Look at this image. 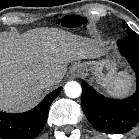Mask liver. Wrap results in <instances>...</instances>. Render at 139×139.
Segmentation results:
<instances>
[{"label":"liver","mask_w":139,"mask_h":139,"mask_svg":"<svg viewBox=\"0 0 139 139\" xmlns=\"http://www.w3.org/2000/svg\"><path fill=\"white\" fill-rule=\"evenodd\" d=\"M94 43L56 28L34 29L18 37L0 35V110L34 106L42 95L40 79L51 76L58 84L67 63L95 57Z\"/></svg>","instance_id":"liver-1"}]
</instances>
